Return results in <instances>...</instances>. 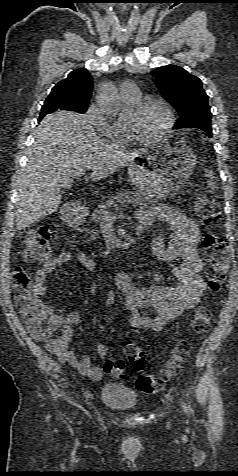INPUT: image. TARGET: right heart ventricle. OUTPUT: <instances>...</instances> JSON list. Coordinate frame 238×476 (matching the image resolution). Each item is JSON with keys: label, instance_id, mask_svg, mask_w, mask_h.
Here are the masks:
<instances>
[{"label": "right heart ventricle", "instance_id": "1", "mask_svg": "<svg viewBox=\"0 0 238 476\" xmlns=\"http://www.w3.org/2000/svg\"><path fill=\"white\" fill-rule=\"evenodd\" d=\"M125 102H126L127 104H129V105H134V104L137 103L138 101L132 102V101H127V100H125ZM118 126L124 128L125 133H126V127H125V126H123V125H121V124H118Z\"/></svg>", "mask_w": 238, "mask_h": 476}]
</instances>
